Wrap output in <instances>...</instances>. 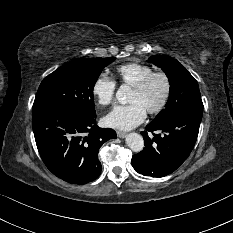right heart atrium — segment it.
I'll return each mask as SVG.
<instances>
[{
	"mask_svg": "<svg viewBox=\"0 0 233 233\" xmlns=\"http://www.w3.org/2000/svg\"><path fill=\"white\" fill-rule=\"evenodd\" d=\"M91 92L99 105H109L113 102L115 97L116 82L106 74L102 73L93 81Z\"/></svg>",
	"mask_w": 233,
	"mask_h": 233,
	"instance_id": "d8ad5b80",
	"label": "right heart atrium"
}]
</instances>
